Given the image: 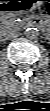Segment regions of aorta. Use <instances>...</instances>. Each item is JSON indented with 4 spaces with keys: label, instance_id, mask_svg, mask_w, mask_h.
<instances>
[{
    "label": "aorta",
    "instance_id": "762f6f07",
    "mask_svg": "<svg viewBox=\"0 0 50 111\" xmlns=\"http://www.w3.org/2000/svg\"><path fill=\"white\" fill-rule=\"evenodd\" d=\"M39 33H38V29L36 28H27L25 31V36L28 39H36L38 37Z\"/></svg>",
    "mask_w": 50,
    "mask_h": 111
}]
</instances>
